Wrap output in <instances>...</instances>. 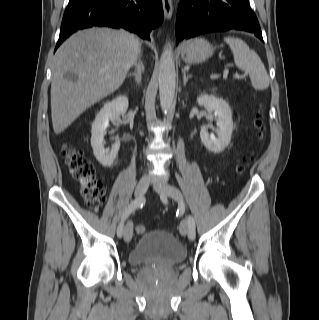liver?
<instances>
[{"instance_id": "1", "label": "liver", "mask_w": 319, "mask_h": 320, "mask_svg": "<svg viewBox=\"0 0 319 320\" xmlns=\"http://www.w3.org/2000/svg\"><path fill=\"white\" fill-rule=\"evenodd\" d=\"M140 49L125 30L93 27L70 36L52 65L51 117L55 134L67 129L87 108L116 91ZM74 73L76 81L65 77Z\"/></svg>"}]
</instances>
